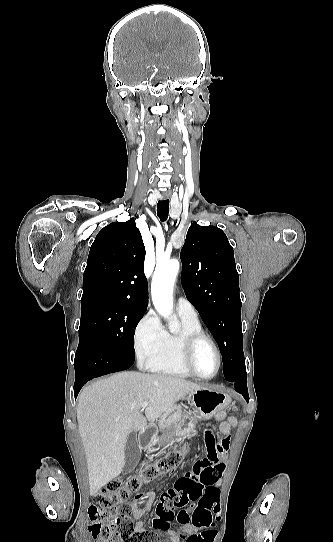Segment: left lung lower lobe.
Returning a JSON list of instances; mask_svg holds the SVG:
<instances>
[{
	"label": "left lung lower lobe",
	"mask_w": 333,
	"mask_h": 542,
	"mask_svg": "<svg viewBox=\"0 0 333 542\" xmlns=\"http://www.w3.org/2000/svg\"><path fill=\"white\" fill-rule=\"evenodd\" d=\"M227 381L231 382L235 390L241 393L246 401L249 400L248 389H247V377L246 370L235 373L229 377H225Z\"/></svg>",
	"instance_id": "1"
}]
</instances>
